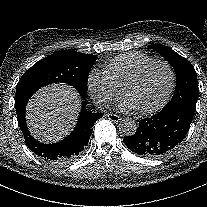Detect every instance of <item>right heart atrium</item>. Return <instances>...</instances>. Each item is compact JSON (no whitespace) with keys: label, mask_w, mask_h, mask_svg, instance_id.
<instances>
[{"label":"right heart atrium","mask_w":207,"mask_h":207,"mask_svg":"<svg viewBox=\"0 0 207 207\" xmlns=\"http://www.w3.org/2000/svg\"><path fill=\"white\" fill-rule=\"evenodd\" d=\"M87 89L94 102L102 107H109L120 96L117 90L107 78L105 72L92 69L87 76Z\"/></svg>","instance_id":"right-heart-atrium-1"}]
</instances>
